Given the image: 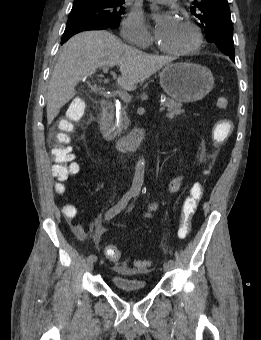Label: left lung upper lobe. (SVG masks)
I'll list each match as a JSON object with an SVG mask.
<instances>
[{
	"label": "left lung upper lobe",
	"instance_id": "1",
	"mask_svg": "<svg viewBox=\"0 0 261 340\" xmlns=\"http://www.w3.org/2000/svg\"><path fill=\"white\" fill-rule=\"evenodd\" d=\"M191 13L203 27L206 39L214 43L221 52L234 56L233 26L227 0H194L191 1Z\"/></svg>",
	"mask_w": 261,
	"mask_h": 340
}]
</instances>
